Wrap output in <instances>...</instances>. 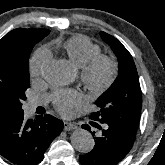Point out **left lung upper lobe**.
<instances>
[{"label":"left lung upper lobe","mask_w":165,"mask_h":165,"mask_svg":"<svg viewBox=\"0 0 165 165\" xmlns=\"http://www.w3.org/2000/svg\"><path fill=\"white\" fill-rule=\"evenodd\" d=\"M100 35L117 56L119 73L110 88L97 99L99 111L90 118L136 132L141 112V89L135 63L119 40L105 32Z\"/></svg>","instance_id":"left-lung-upper-lobe-1"}]
</instances>
